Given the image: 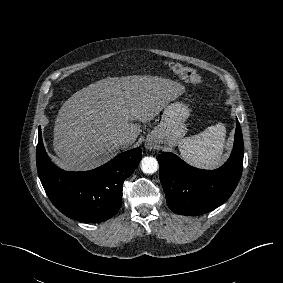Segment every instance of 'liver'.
<instances>
[{
	"mask_svg": "<svg viewBox=\"0 0 283 283\" xmlns=\"http://www.w3.org/2000/svg\"><path fill=\"white\" fill-rule=\"evenodd\" d=\"M185 92L170 79L150 75L107 77L74 93L60 108L53 129L54 162L65 170L98 167L132 145L141 129ZM121 135L127 142L119 145Z\"/></svg>",
	"mask_w": 283,
	"mask_h": 283,
	"instance_id": "1",
	"label": "liver"
}]
</instances>
